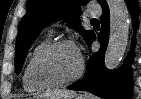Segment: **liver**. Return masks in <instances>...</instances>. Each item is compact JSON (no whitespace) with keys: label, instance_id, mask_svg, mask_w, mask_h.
Returning a JSON list of instances; mask_svg holds the SVG:
<instances>
[{"label":"liver","instance_id":"6515ba94","mask_svg":"<svg viewBox=\"0 0 141 99\" xmlns=\"http://www.w3.org/2000/svg\"><path fill=\"white\" fill-rule=\"evenodd\" d=\"M76 95L75 91L70 90H54L47 91L42 95L38 96L41 99H73Z\"/></svg>","mask_w":141,"mask_h":99}]
</instances>
